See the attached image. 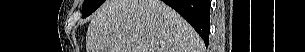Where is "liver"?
<instances>
[{"mask_svg": "<svg viewBox=\"0 0 305 52\" xmlns=\"http://www.w3.org/2000/svg\"><path fill=\"white\" fill-rule=\"evenodd\" d=\"M87 52H204L197 32L160 0H107L92 15Z\"/></svg>", "mask_w": 305, "mask_h": 52, "instance_id": "obj_1", "label": "liver"}]
</instances>
